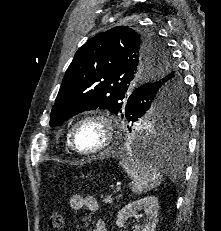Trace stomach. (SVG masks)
I'll return each instance as SVG.
<instances>
[{"label": "stomach", "instance_id": "1", "mask_svg": "<svg viewBox=\"0 0 221 231\" xmlns=\"http://www.w3.org/2000/svg\"><path fill=\"white\" fill-rule=\"evenodd\" d=\"M134 130V129H133ZM140 130H142V131H139V132H136V133H143V132H146L147 131V129H144L143 130V128L142 127H140ZM131 131V130H130Z\"/></svg>", "mask_w": 221, "mask_h": 231}]
</instances>
